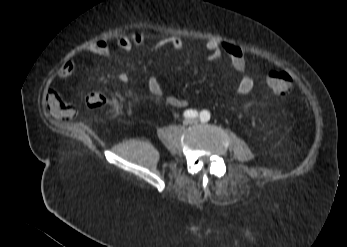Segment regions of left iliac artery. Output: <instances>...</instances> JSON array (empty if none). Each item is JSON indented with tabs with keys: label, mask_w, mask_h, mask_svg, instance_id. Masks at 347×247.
<instances>
[{
	"label": "left iliac artery",
	"mask_w": 347,
	"mask_h": 247,
	"mask_svg": "<svg viewBox=\"0 0 347 247\" xmlns=\"http://www.w3.org/2000/svg\"><path fill=\"white\" fill-rule=\"evenodd\" d=\"M201 122H208L210 120V113L207 110H203L200 113Z\"/></svg>",
	"instance_id": "left-iliac-artery-1"
}]
</instances>
